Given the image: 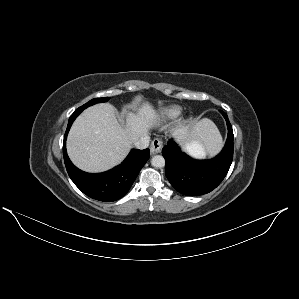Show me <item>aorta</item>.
Here are the masks:
<instances>
[{
    "instance_id": "aorta-1",
    "label": "aorta",
    "mask_w": 299,
    "mask_h": 299,
    "mask_svg": "<svg viewBox=\"0 0 299 299\" xmlns=\"http://www.w3.org/2000/svg\"><path fill=\"white\" fill-rule=\"evenodd\" d=\"M151 164L156 168H162L165 166V159L161 155H155L151 160Z\"/></svg>"
}]
</instances>
